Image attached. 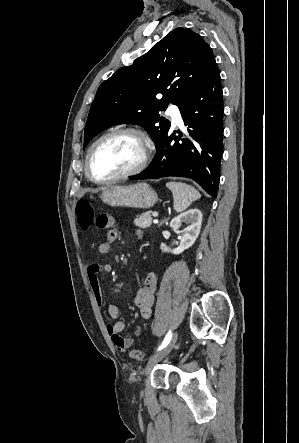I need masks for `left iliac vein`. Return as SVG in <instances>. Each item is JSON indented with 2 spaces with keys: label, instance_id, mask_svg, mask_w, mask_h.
<instances>
[{
  "label": "left iliac vein",
  "instance_id": "1",
  "mask_svg": "<svg viewBox=\"0 0 299 443\" xmlns=\"http://www.w3.org/2000/svg\"><path fill=\"white\" fill-rule=\"evenodd\" d=\"M178 339V334L177 332H175L170 340V342L167 344V346H165L163 349H161L159 352L155 353L154 355H152L148 362L147 365L143 371L144 375H147L150 370L153 368V366L155 364H157L159 361H161L164 357H166L174 348L176 342Z\"/></svg>",
  "mask_w": 299,
  "mask_h": 443
}]
</instances>
